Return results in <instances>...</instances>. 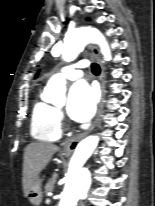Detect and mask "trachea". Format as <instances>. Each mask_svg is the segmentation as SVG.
I'll return each mask as SVG.
<instances>
[{
	"label": "trachea",
	"instance_id": "1",
	"mask_svg": "<svg viewBox=\"0 0 155 206\" xmlns=\"http://www.w3.org/2000/svg\"><path fill=\"white\" fill-rule=\"evenodd\" d=\"M91 69H92V72L95 74V75H99L100 74V67L98 64L96 63H93L91 65Z\"/></svg>",
	"mask_w": 155,
	"mask_h": 206
}]
</instances>
